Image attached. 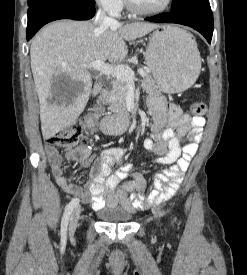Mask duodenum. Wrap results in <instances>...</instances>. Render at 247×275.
Returning <instances> with one entry per match:
<instances>
[{"label":"duodenum","mask_w":247,"mask_h":275,"mask_svg":"<svg viewBox=\"0 0 247 275\" xmlns=\"http://www.w3.org/2000/svg\"><path fill=\"white\" fill-rule=\"evenodd\" d=\"M106 92L101 91L98 94L97 105H103L106 101ZM91 119L96 118L94 111L89 114ZM131 116L129 113H124L115 116L104 117L100 120V127L105 134L119 135L124 133L130 125Z\"/></svg>","instance_id":"1"}]
</instances>
